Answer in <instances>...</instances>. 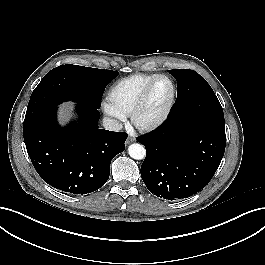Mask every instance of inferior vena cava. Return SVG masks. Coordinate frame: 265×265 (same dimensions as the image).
<instances>
[{
    "mask_svg": "<svg viewBox=\"0 0 265 265\" xmlns=\"http://www.w3.org/2000/svg\"><path fill=\"white\" fill-rule=\"evenodd\" d=\"M103 126L109 131H120L123 127L119 121L110 118L103 119Z\"/></svg>",
    "mask_w": 265,
    "mask_h": 265,
    "instance_id": "602c4592",
    "label": "inferior vena cava"
}]
</instances>
